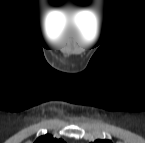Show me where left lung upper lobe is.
<instances>
[{
    "label": "left lung upper lobe",
    "instance_id": "obj_1",
    "mask_svg": "<svg viewBox=\"0 0 145 143\" xmlns=\"http://www.w3.org/2000/svg\"><path fill=\"white\" fill-rule=\"evenodd\" d=\"M96 143H110L109 140H96Z\"/></svg>",
    "mask_w": 145,
    "mask_h": 143
}]
</instances>
